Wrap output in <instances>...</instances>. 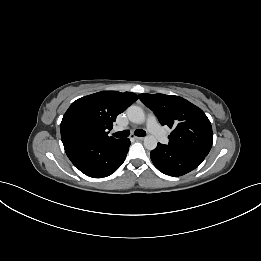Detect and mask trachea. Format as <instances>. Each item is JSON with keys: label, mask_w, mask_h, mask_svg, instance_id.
I'll return each mask as SVG.
<instances>
[{"label": "trachea", "mask_w": 261, "mask_h": 261, "mask_svg": "<svg viewBox=\"0 0 261 261\" xmlns=\"http://www.w3.org/2000/svg\"><path fill=\"white\" fill-rule=\"evenodd\" d=\"M129 131L128 130H124V131H121V132H116L113 134V136L117 137V138H125V137H128L129 136ZM135 135L136 136H139V137H143L146 135V132L142 129H138L135 131Z\"/></svg>", "instance_id": "trachea-1"}]
</instances>
